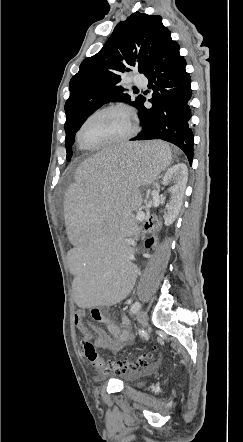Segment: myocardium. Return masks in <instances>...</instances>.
I'll return each mask as SVG.
<instances>
[{"label":"myocardium","instance_id":"myocardium-1","mask_svg":"<svg viewBox=\"0 0 243 442\" xmlns=\"http://www.w3.org/2000/svg\"><path fill=\"white\" fill-rule=\"evenodd\" d=\"M111 111H121V112H124L128 116L129 121H130L129 131L122 137L116 138L114 140H111L109 142H106V143H103L100 145L91 146V145L85 144L82 140V131H83L85 125L91 119H93L99 115H102L104 113L111 112ZM136 131H137V123H136V118H135L133 111L125 105H121V104L110 105V106L103 107V108L91 113L88 117H86L84 119V121L81 123V125L77 131V141H78L79 145L82 148H84L85 150H90V151L100 150V149L108 148V147H111L114 145L122 144V143L130 140L134 136Z\"/></svg>","mask_w":243,"mask_h":442}]
</instances>
